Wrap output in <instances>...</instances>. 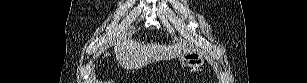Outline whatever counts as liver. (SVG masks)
<instances>
[{"label":"liver","mask_w":307,"mask_h":83,"mask_svg":"<svg viewBox=\"0 0 307 83\" xmlns=\"http://www.w3.org/2000/svg\"><path fill=\"white\" fill-rule=\"evenodd\" d=\"M114 52L118 63L127 68H140L150 62L181 56L180 46L144 44L135 40H119L115 43ZM106 53L105 56H108Z\"/></svg>","instance_id":"obj_1"}]
</instances>
